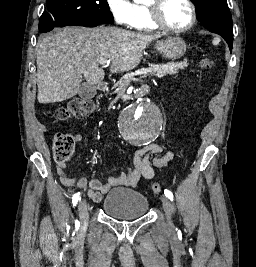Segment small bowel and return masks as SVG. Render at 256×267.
Wrapping results in <instances>:
<instances>
[{
  "instance_id": "obj_1",
  "label": "small bowel",
  "mask_w": 256,
  "mask_h": 267,
  "mask_svg": "<svg viewBox=\"0 0 256 267\" xmlns=\"http://www.w3.org/2000/svg\"><path fill=\"white\" fill-rule=\"evenodd\" d=\"M81 135L75 136V141L80 142ZM177 156L176 152L163 151L159 143H149L139 148L134 155L133 166L120 174L110 176L106 182L94 179L89 181L87 176L74 178L66 173V163L58 162L56 171L62 184L68 188L84 190L89 188L88 196L95 202L101 201L112 188L119 186H137L141 179L151 180L154 177V168H162Z\"/></svg>"
}]
</instances>
